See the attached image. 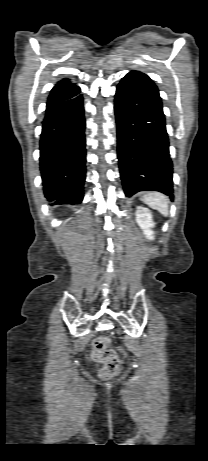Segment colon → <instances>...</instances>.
Returning <instances> with one entry per match:
<instances>
[{"mask_svg": "<svg viewBox=\"0 0 208 461\" xmlns=\"http://www.w3.org/2000/svg\"><path fill=\"white\" fill-rule=\"evenodd\" d=\"M110 338L100 336L93 342V358L103 363L99 375L102 379H110L119 371V357L115 350L109 348Z\"/></svg>", "mask_w": 208, "mask_h": 461, "instance_id": "5ec220e1", "label": "colon"}]
</instances>
